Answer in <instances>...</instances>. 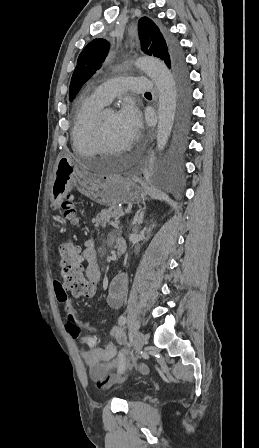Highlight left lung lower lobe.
Returning <instances> with one entry per match:
<instances>
[{
  "mask_svg": "<svg viewBox=\"0 0 259 448\" xmlns=\"http://www.w3.org/2000/svg\"><path fill=\"white\" fill-rule=\"evenodd\" d=\"M176 55L169 68L172 69L177 92V119L171 154L163 180L173 183L181 174L183 159L188 150V137L191 132L192 89L185 58L173 42Z\"/></svg>",
  "mask_w": 259,
  "mask_h": 448,
  "instance_id": "obj_1",
  "label": "left lung lower lobe"
}]
</instances>
